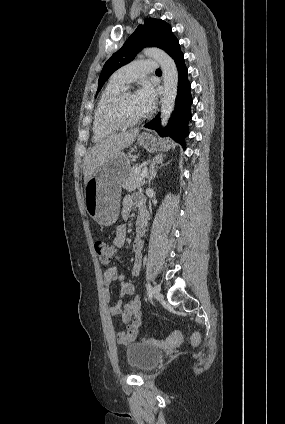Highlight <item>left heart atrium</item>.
<instances>
[{"mask_svg": "<svg viewBox=\"0 0 285 424\" xmlns=\"http://www.w3.org/2000/svg\"><path fill=\"white\" fill-rule=\"evenodd\" d=\"M136 97L145 114L154 109L156 105V92L150 83H143L136 92Z\"/></svg>", "mask_w": 285, "mask_h": 424, "instance_id": "obj_1", "label": "left heart atrium"}]
</instances>
